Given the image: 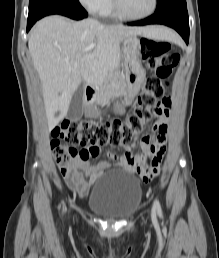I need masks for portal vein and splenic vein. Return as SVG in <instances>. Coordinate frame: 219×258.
I'll return each mask as SVG.
<instances>
[{
    "label": "portal vein and splenic vein",
    "instance_id": "obj_1",
    "mask_svg": "<svg viewBox=\"0 0 219 258\" xmlns=\"http://www.w3.org/2000/svg\"><path fill=\"white\" fill-rule=\"evenodd\" d=\"M96 46V43H92L90 44L84 51L87 52V51H91L92 49H94ZM69 58H67L68 60Z\"/></svg>",
    "mask_w": 219,
    "mask_h": 258
}]
</instances>
